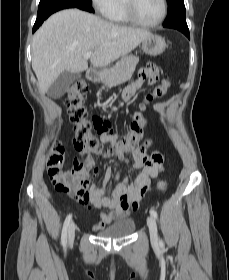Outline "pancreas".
<instances>
[{"instance_id": "obj_1", "label": "pancreas", "mask_w": 229, "mask_h": 280, "mask_svg": "<svg viewBox=\"0 0 229 280\" xmlns=\"http://www.w3.org/2000/svg\"><path fill=\"white\" fill-rule=\"evenodd\" d=\"M138 61V57L127 55L117 61L113 67L104 70L102 75L106 77L105 86L112 87L124 82L134 72Z\"/></svg>"}]
</instances>
